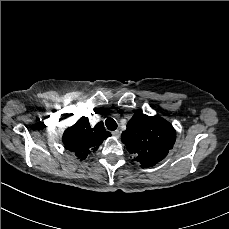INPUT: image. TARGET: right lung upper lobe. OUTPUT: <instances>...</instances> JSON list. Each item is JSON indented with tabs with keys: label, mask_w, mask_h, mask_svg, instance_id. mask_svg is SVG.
<instances>
[{
	"label": "right lung upper lobe",
	"mask_w": 229,
	"mask_h": 229,
	"mask_svg": "<svg viewBox=\"0 0 229 229\" xmlns=\"http://www.w3.org/2000/svg\"><path fill=\"white\" fill-rule=\"evenodd\" d=\"M111 133L106 131L103 122L90 127L88 118L82 117L76 124L66 129L62 141L65 148L78 158L85 159L91 151H96L99 145Z\"/></svg>",
	"instance_id": "1"
}]
</instances>
